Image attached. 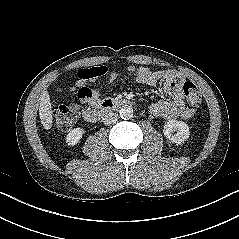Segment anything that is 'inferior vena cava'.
I'll return each instance as SVG.
<instances>
[{
  "label": "inferior vena cava",
  "mask_w": 239,
  "mask_h": 239,
  "mask_svg": "<svg viewBox=\"0 0 239 239\" xmlns=\"http://www.w3.org/2000/svg\"><path fill=\"white\" fill-rule=\"evenodd\" d=\"M118 120V114L114 113V112H107L105 113V115L103 116L102 118V122L105 124V125H111V124H114L116 123Z\"/></svg>",
  "instance_id": "602c4592"
}]
</instances>
